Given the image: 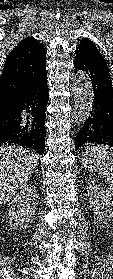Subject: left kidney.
I'll return each mask as SVG.
<instances>
[{"mask_svg": "<svg viewBox=\"0 0 113 279\" xmlns=\"http://www.w3.org/2000/svg\"><path fill=\"white\" fill-rule=\"evenodd\" d=\"M89 209L103 224L113 220V192L106 190L94 181L88 184Z\"/></svg>", "mask_w": 113, "mask_h": 279, "instance_id": "obj_1", "label": "left kidney"}]
</instances>
